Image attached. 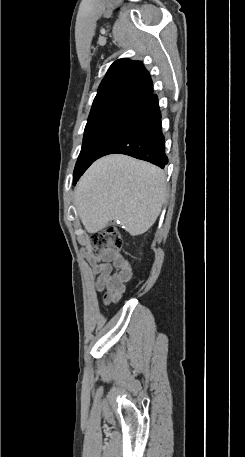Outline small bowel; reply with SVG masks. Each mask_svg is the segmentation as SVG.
I'll return each instance as SVG.
<instances>
[{"instance_id":"obj_1","label":"small bowel","mask_w":245,"mask_h":457,"mask_svg":"<svg viewBox=\"0 0 245 457\" xmlns=\"http://www.w3.org/2000/svg\"><path fill=\"white\" fill-rule=\"evenodd\" d=\"M87 262L91 268L94 289L104 292L103 303H118L125 293L126 284L133 277L128 259L120 253H114L106 256L90 255Z\"/></svg>"}]
</instances>
